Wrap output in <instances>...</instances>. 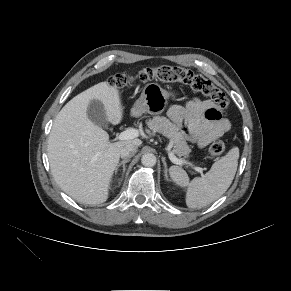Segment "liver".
Returning <instances> with one entry per match:
<instances>
[{"label":"liver","mask_w":291,"mask_h":291,"mask_svg":"<svg viewBox=\"0 0 291 291\" xmlns=\"http://www.w3.org/2000/svg\"><path fill=\"white\" fill-rule=\"evenodd\" d=\"M100 101L107 121L117 125L123 118L118 88L98 83L72 98L56 116L48 139L51 173L59 187L78 202L97 205L109 196L110 183L128 144L142 145L138 138L111 143L108 133L87 115L91 100Z\"/></svg>","instance_id":"liver-1"}]
</instances>
